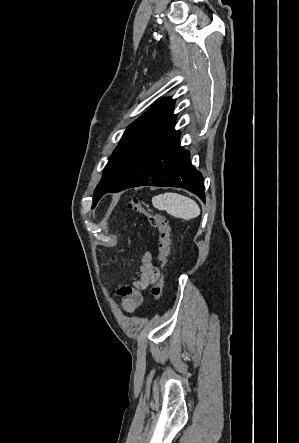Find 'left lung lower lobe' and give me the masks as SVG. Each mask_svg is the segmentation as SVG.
<instances>
[{
    "instance_id": "0a47b994",
    "label": "left lung lower lobe",
    "mask_w": 299,
    "mask_h": 443,
    "mask_svg": "<svg viewBox=\"0 0 299 443\" xmlns=\"http://www.w3.org/2000/svg\"><path fill=\"white\" fill-rule=\"evenodd\" d=\"M180 134L174 131L152 148L102 195L136 186L153 185L184 188L204 201L202 174L190 163L189 152L181 148Z\"/></svg>"
}]
</instances>
